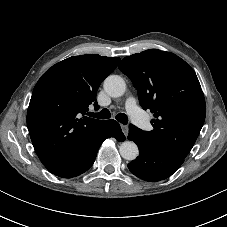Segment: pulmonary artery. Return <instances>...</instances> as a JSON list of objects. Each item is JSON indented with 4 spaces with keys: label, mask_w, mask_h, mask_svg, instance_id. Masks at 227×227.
I'll use <instances>...</instances> for the list:
<instances>
[{
    "label": "pulmonary artery",
    "mask_w": 227,
    "mask_h": 227,
    "mask_svg": "<svg viewBox=\"0 0 227 227\" xmlns=\"http://www.w3.org/2000/svg\"><path fill=\"white\" fill-rule=\"evenodd\" d=\"M125 106L128 114L130 115V117L133 119L135 123H137L142 128L147 127V123L144 121L143 115L134 97L127 98Z\"/></svg>",
    "instance_id": "obj_1"
}]
</instances>
